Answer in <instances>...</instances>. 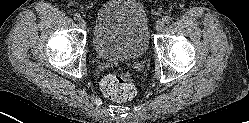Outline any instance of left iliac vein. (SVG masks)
<instances>
[{
	"label": "left iliac vein",
	"instance_id": "4c4485c4",
	"mask_svg": "<svg viewBox=\"0 0 249 123\" xmlns=\"http://www.w3.org/2000/svg\"><path fill=\"white\" fill-rule=\"evenodd\" d=\"M164 26H165V24H164L163 21H158V22L156 23V30H157V31H162V30L164 29Z\"/></svg>",
	"mask_w": 249,
	"mask_h": 123
}]
</instances>
